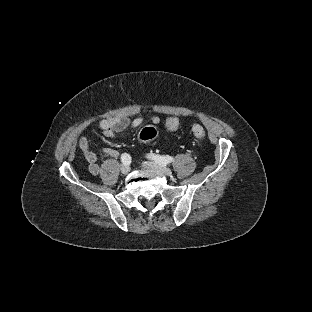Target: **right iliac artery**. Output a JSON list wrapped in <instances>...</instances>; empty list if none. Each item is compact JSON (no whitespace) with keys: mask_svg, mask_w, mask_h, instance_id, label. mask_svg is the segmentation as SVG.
<instances>
[{"mask_svg":"<svg viewBox=\"0 0 312 312\" xmlns=\"http://www.w3.org/2000/svg\"><path fill=\"white\" fill-rule=\"evenodd\" d=\"M121 161L124 165H130L131 163V157L129 154L124 153L121 155Z\"/></svg>","mask_w":312,"mask_h":312,"instance_id":"1","label":"right iliac artery"}]
</instances>
